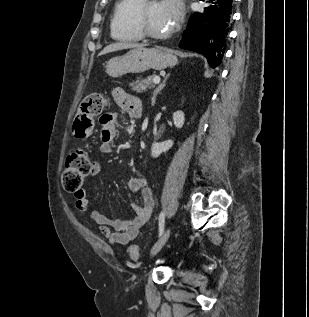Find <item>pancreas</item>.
Wrapping results in <instances>:
<instances>
[{
  "mask_svg": "<svg viewBox=\"0 0 309 317\" xmlns=\"http://www.w3.org/2000/svg\"><path fill=\"white\" fill-rule=\"evenodd\" d=\"M155 75H151L147 78H138L136 81L130 83V86L133 91L136 93H141L146 91L147 89H151L154 87L153 79Z\"/></svg>",
  "mask_w": 309,
  "mask_h": 317,
  "instance_id": "cf45deb5",
  "label": "pancreas"
}]
</instances>
